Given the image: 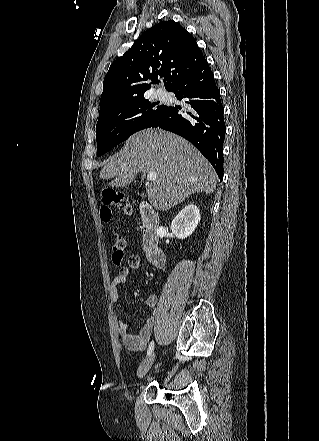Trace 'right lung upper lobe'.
I'll return each instance as SVG.
<instances>
[{
  "label": "right lung upper lobe",
  "mask_w": 319,
  "mask_h": 441,
  "mask_svg": "<svg viewBox=\"0 0 319 441\" xmlns=\"http://www.w3.org/2000/svg\"><path fill=\"white\" fill-rule=\"evenodd\" d=\"M205 57L195 39L178 23L163 21L148 29L107 72L100 111L144 98L151 83L165 77L166 90L194 71Z\"/></svg>",
  "instance_id": "obj_1"
}]
</instances>
